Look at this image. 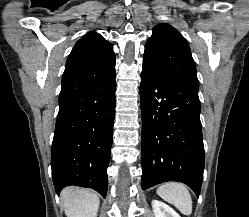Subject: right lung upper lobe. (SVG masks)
<instances>
[{
    "label": "right lung upper lobe",
    "mask_w": 249,
    "mask_h": 217,
    "mask_svg": "<svg viewBox=\"0 0 249 217\" xmlns=\"http://www.w3.org/2000/svg\"><path fill=\"white\" fill-rule=\"evenodd\" d=\"M114 56L110 42L96 32H88L75 44L65 69L99 65Z\"/></svg>",
    "instance_id": "1"
}]
</instances>
